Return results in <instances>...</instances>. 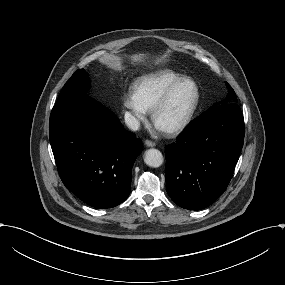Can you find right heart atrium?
Here are the masks:
<instances>
[{
  "label": "right heart atrium",
  "mask_w": 285,
  "mask_h": 285,
  "mask_svg": "<svg viewBox=\"0 0 285 285\" xmlns=\"http://www.w3.org/2000/svg\"><path fill=\"white\" fill-rule=\"evenodd\" d=\"M122 106L129 112L132 125H139L147 121L150 110L139 98L135 87H131L125 92L122 97Z\"/></svg>",
  "instance_id": "d8ad5b80"
}]
</instances>
